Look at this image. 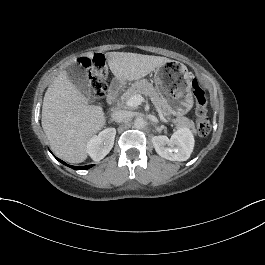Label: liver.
<instances>
[{
    "mask_svg": "<svg viewBox=\"0 0 265 265\" xmlns=\"http://www.w3.org/2000/svg\"><path fill=\"white\" fill-rule=\"evenodd\" d=\"M108 66L119 80H138L170 60L160 56L107 52ZM105 125L102 107L87 99L62 71L48 87L42 106V127L53 152L70 163L87 158L88 140Z\"/></svg>",
    "mask_w": 265,
    "mask_h": 265,
    "instance_id": "liver-1",
    "label": "liver"
}]
</instances>
